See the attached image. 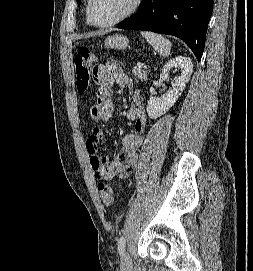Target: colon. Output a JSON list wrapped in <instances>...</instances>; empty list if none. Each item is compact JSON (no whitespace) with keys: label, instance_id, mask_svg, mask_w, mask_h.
Segmentation results:
<instances>
[{"label":"colon","instance_id":"1","mask_svg":"<svg viewBox=\"0 0 253 271\" xmlns=\"http://www.w3.org/2000/svg\"><path fill=\"white\" fill-rule=\"evenodd\" d=\"M95 55L86 47H80L74 58L76 88L79 93H84L90 88L92 78L96 79L97 72L93 64ZM98 191L102 201L110 206L114 203V191L109 184L101 183Z\"/></svg>","mask_w":253,"mask_h":271}]
</instances>
